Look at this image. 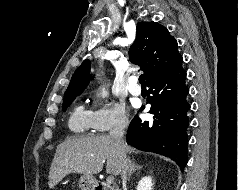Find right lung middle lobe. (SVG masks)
<instances>
[{"mask_svg": "<svg viewBox=\"0 0 238 190\" xmlns=\"http://www.w3.org/2000/svg\"><path fill=\"white\" fill-rule=\"evenodd\" d=\"M78 95H79V93H77V94H69V95H66L64 97L63 111H65L70 106V104L73 102L75 97L78 96Z\"/></svg>", "mask_w": 238, "mask_h": 190, "instance_id": "right-lung-middle-lobe-1", "label": "right lung middle lobe"}]
</instances>
